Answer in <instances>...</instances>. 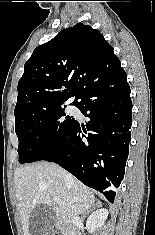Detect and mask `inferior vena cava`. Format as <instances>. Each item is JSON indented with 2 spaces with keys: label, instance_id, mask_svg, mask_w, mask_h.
Returning <instances> with one entry per match:
<instances>
[{
  "label": "inferior vena cava",
  "instance_id": "obj_1",
  "mask_svg": "<svg viewBox=\"0 0 155 235\" xmlns=\"http://www.w3.org/2000/svg\"><path fill=\"white\" fill-rule=\"evenodd\" d=\"M79 220H80L79 216L77 214H74L71 219V223L74 225V224L78 223Z\"/></svg>",
  "mask_w": 155,
  "mask_h": 235
}]
</instances>
